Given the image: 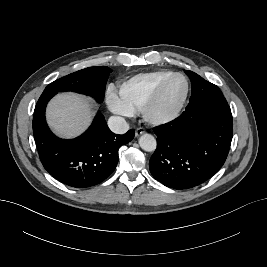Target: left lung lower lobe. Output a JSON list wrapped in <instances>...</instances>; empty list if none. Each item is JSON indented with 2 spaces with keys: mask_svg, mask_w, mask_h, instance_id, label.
<instances>
[{
  "mask_svg": "<svg viewBox=\"0 0 267 267\" xmlns=\"http://www.w3.org/2000/svg\"><path fill=\"white\" fill-rule=\"evenodd\" d=\"M210 92L192 96L178 118L154 128L157 149L149 168L153 177L169 188L202 184L227 158L233 135L231 110L227 101L216 103Z\"/></svg>",
  "mask_w": 267,
  "mask_h": 267,
  "instance_id": "0a47b994",
  "label": "left lung lower lobe"
}]
</instances>
